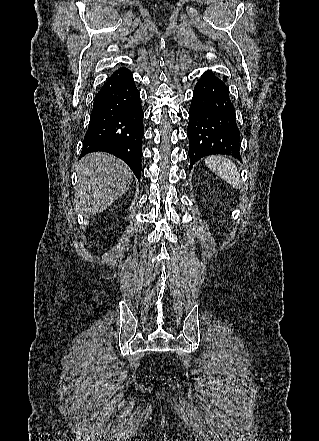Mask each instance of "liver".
<instances>
[{
	"instance_id": "6515ba94",
	"label": "liver",
	"mask_w": 319,
	"mask_h": 441,
	"mask_svg": "<svg viewBox=\"0 0 319 441\" xmlns=\"http://www.w3.org/2000/svg\"><path fill=\"white\" fill-rule=\"evenodd\" d=\"M75 204L86 216L99 214L127 192L133 173L120 159L102 152L80 160Z\"/></svg>"
}]
</instances>
